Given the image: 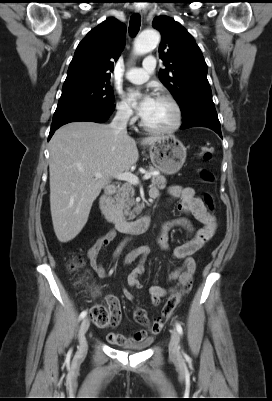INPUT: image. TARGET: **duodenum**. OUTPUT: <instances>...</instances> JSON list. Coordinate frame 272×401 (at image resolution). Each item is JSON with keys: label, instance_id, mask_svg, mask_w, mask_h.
<instances>
[{"label": "duodenum", "instance_id": "obj_1", "mask_svg": "<svg viewBox=\"0 0 272 401\" xmlns=\"http://www.w3.org/2000/svg\"><path fill=\"white\" fill-rule=\"evenodd\" d=\"M115 185H108L100 197V209L107 222L123 233H143L150 225V218L145 215L136 220H128L115 213L111 198L116 193Z\"/></svg>", "mask_w": 272, "mask_h": 401}]
</instances>
